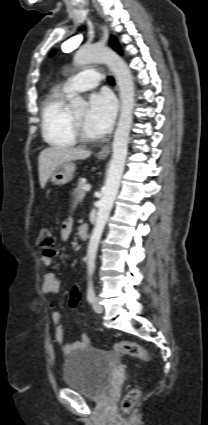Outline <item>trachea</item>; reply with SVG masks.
<instances>
[{"label":"trachea","instance_id":"3493384b","mask_svg":"<svg viewBox=\"0 0 208 425\" xmlns=\"http://www.w3.org/2000/svg\"><path fill=\"white\" fill-rule=\"evenodd\" d=\"M108 83L110 84V85H114V78L113 77H111V76H109L108 77Z\"/></svg>","mask_w":208,"mask_h":425}]
</instances>
